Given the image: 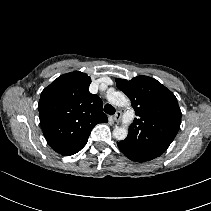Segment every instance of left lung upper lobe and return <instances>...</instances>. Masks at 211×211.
I'll return each instance as SVG.
<instances>
[{"mask_svg": "<svg viewBox=\"0 0 211 211\" xmlns=\"http://www.w3.org/2000/svg\"><path fill=\"white\" fill-rule=\"evenodd\" d=\"M117 87L131 100L137 118L129 134L117 143L131 160L144 162L163 154L181 124V110L174 94L156 79L137 76L130 81L116 79Z\"/></svg>", "mask_w": 211, "mask_h": 211, "instance_id": "5c2ea615", "label": "left lung upper lobe"}]
</instances>
